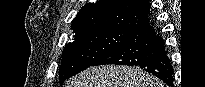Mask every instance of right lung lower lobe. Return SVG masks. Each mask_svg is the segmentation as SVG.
Returning <instances> with one entry per match:
<instances>
[{"label":"right lung lower lobe","instance_id":"obj_1","mask_svg":"<svg viewBox=\"0 0 205 87\" xmlns=\"http://www.w3.org/2000/svg\"><path fill=\"white\" fill-rule=\"evenodd\" d=\"M104 64L136 66L173 86V67L167 56L165 43L152 23L132 33L93 66Z\"/></svg>","mask_w":205,"mask_h":87}]
</instances>
